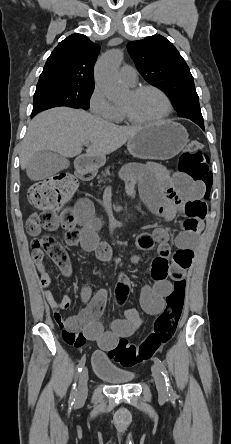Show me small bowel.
Wrapping results in <instances>:
<instances>
[{
  "label": "small bowel",
  "mask_w": 231,
  "mask_h": 444,
  "mask_svg": "<svg viewBox=\"0 0 231 444\" xmlns=\"http://www.w3.org/2000/svg\"><path fill=\"white\" fill-rule=\"evenodd\" d=\"M121 177L125 180L130 195H134L135 187L138 186L146 205L165 220H172L178 213L187 214L186 208L190 203L203 202V183L194 182L186 176H176L161 165H130L122 170ZM71 214V220L60 222V227L66 231L68 245L80 246L83 250L94 253L100 260L109 261L111 248L97 236L98 221L94 217L92 202L87 198L79 199ZM201 218L196 232L184 231L178 236L177 250L174 253L171 252L167 234L162 229L153 234L142 233L137 237L136 247L142 251L150 250L158 243V255L151 265L153 284L145 285L140 294L141 308L145 313L159 315L165 308L166 298L172 292V281L184 279L194 257L197 234L202 229ZM33 259L40 274L45 299L67 343L81 347L89 340L102 350L109 351L143 325L140 313L134 308H126L122 317L114 320L110 329L106 330L99 318L105 308L108 292L101 289L92 294L87 285L81 291L83 309L79 314L65 318L62 312L70 306L69 297L64 295L61 301L55 299L49 288L51 279L43 254L34 253ZM132 260L137 263L139 258L134 256ZM129 290V280L120 276L115 288L117 301L124 302Z\"/></svg>",
  "instance_id": "c3829d8e"
}]
</instances>
